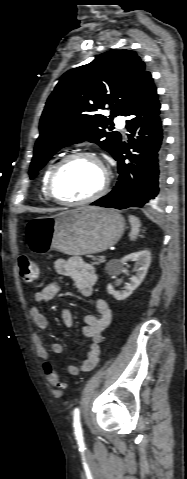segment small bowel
Wrapping results in <instances>:
<instances>
[{"instance_id":"1","label":"small bowel","mask_w":187,"mask_h":479,"mask_svg":"<svg viewBox=\"0 0 187 479\" xmlns=\"http://www.w3.org/2000/svg\"><path fill=\"white\" fill-rule=\"evenodd\" d=\"M54 268L58 277L71 278L81 295H91L97 281L96 272L91 264L85 262L81 257L74 256L68 259L57 260ZM58 292L59 282L53 281L34 294L33 304L29 308V315L38 329L45 331L48 328V321L41 312L40 306L52 302ZM112 314V309L105 299H96L95 313L86 316V324L83 328L84 335L90 340L87 356L80 366L69 364L67 366L69 374L78 376L80 373L89 372L97 366L101 352L100 342L102 333L110 324ZM61 317L66 327L70 328L73 326V313L69 308L62 310ZM33 343L37 356L44 362V372L46 364L53 366L50 362L48 351L44 345L43 338L38 333L33 335ZM50 348L54 354H61L64 351L63 344L59 342L51 343Z\"/></svg>"}]
</instances>
